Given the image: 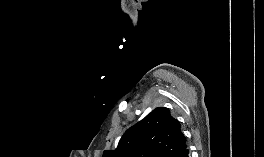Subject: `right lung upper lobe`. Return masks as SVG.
Here are the masks:
<instances>
[{
	"label": "right lung upper lobe",
	"mask_w": 264,
	"mask_h": 157,
	"mask_svg": "<svg viewBox=\"0 0 264 157\" xmlns=\"http://www.w3.org/2000/svg\"><path fill=\"white\" fill-rule=\"evenodd\" d=\"M186 148L180 122L168 108L158 107L130 127L116 150L104 153V157H179Z\"/></svg>",
	"instance_id": "1"
}]
</instances>
